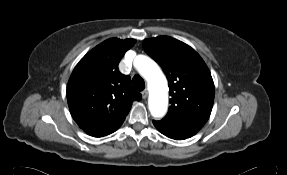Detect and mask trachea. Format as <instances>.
Segmentation results:
<instances>
[{
  "mask_svg": "<svg viewBox=\"0 0 287 175\" xmlns=\"http://www.w3.org/2000/svg\"><path fill=\"white\" fill-rule=\"evenodd\" d=\"M133 82V87L137 90V91H142L145 88V83L144 80L139 76V75H135L132 79Z\"/></svg>",
  "mask_w": 287,
  "mask_h": 175,
  "instance_id": "1",
  "label": "trachea"
}]
</instances>
